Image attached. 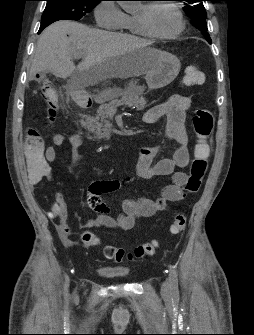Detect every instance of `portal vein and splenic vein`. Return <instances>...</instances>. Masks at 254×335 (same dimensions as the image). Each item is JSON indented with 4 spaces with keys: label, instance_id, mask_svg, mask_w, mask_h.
I'll use <instances>...</instances> for the list:
<instances>
[{
    "label": "portal vein and splenic vein",
    "instance_id": "18ae733b",
    "mask_svg": "<svg viewBox=\"0 0 254 335\" xmlns=\"http://www.w3.org/2000/svg\"><path fill=\"white\" fill-rule=\"evenodd\" d=\"M83 56V54L82 53H78V54H75V58H77V59H79V58H81Z\"/></svg>",
    "mask_w": 254,
    "mask_h": 335
}]
</instances>
